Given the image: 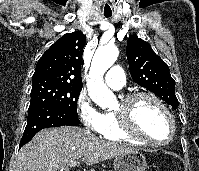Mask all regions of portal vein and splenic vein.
<instances>
[{
    "label": "portal vein and splenic vein",
    "instance_id": "1",
    "mask_svg": "<svg viewBox=\"0 0 199 171\" xmlns=\"http://www.w3.org/2000/svg\"><path fill=\"white\" fill-rule=\"evenodd\" d=\"M77 164H78V161L74 160V161L70 162L69 165H70L71 167H75Z\"/></svg>",
    "mask_w": 199,
    "mask_h": 171
}]
</instances>
